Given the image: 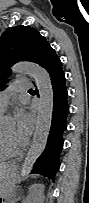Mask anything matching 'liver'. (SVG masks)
I'll use <instances>...</instances> for the list:
<instances>
[{
	"label": "liver",
	"instance_id": "liver-1",
	"mask_svg": "<svg viewBox=\"0 0 89 203\" xmlns=\"http://www.w3.org/2000/svg\"><path fill=\"white\" fill-rule=\"evenodd\" d=\"M7 167H8V164H6V163H2L0 165V176H1V179H2L3 175L5 174V171H6Z\"/></svg>",
	"mask_w": 89,
	"mask_h": 203
}]
</instances>
